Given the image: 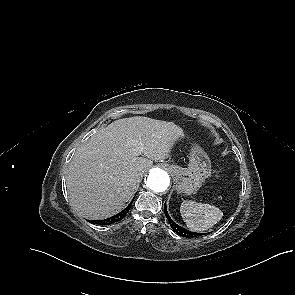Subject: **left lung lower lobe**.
Segmentation results:
<instances>
[{"label": "left lung lower lobe", "mask_w": 295, "mask_h": 295, "mask_svg": "<svg viewBox=\"0 0 295 295\" xmlns=\"http://www.w3.org/2000/svg\"><path fill=\"white\" fill-rule=\"evenodd\" d=\"M164 212H165V216L167 217L169 224L171 226V228L179 235L183 236V237H196L198 235H200L201 233H196V232H191L189 230H186L184 228H182L181 226L177 225L168 215L167 209H166V203H164Z\"/></svg>", "instance_id": "0a47b994"}]
</instances>
